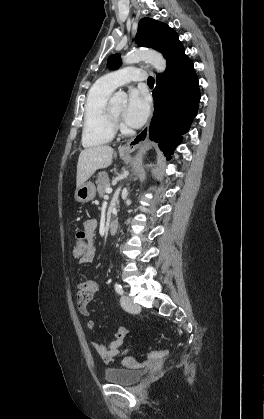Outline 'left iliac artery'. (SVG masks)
I'll return each mask as SVG.
<instances>
[{"instance_id":"44dca946","label":"left iliac artery","mask_w":264,"mask_h":419,"mask_svg":"<svg viewBox=\"0 0 264 419\" xmlns=\"http://www.w3.org/2000/svg\"><path fill=\"white\" fill-rule=\"evenodd\" d=\"M115 290L118 294L122 295L124 293V290L122 288V286L119 283H115Z\"/></svg>"}]
</instances>
